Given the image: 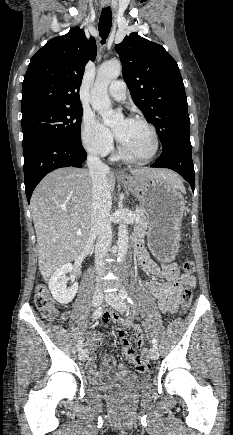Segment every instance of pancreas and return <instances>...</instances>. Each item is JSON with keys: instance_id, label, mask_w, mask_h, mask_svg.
Returning a JSON list of instances; mask_svg holds the SVG:
<instances>
[{"instance_id": "pancreas-1", "label": "pancreas", "mask_w": 233, "mask_h": 435, "mask_svg": "<svg viewBox=\"0 0 233 435\" xmlns=\"http://www.w3.org/2000/svg\"><path fill=\"white\" fill-rule=\"evenodd\" d=\"M135 215L139 216V220L135 222L134 232L138 237H143L146 233L148 223L141 207L136 208Z\"/></svg>"}]
</instances>
